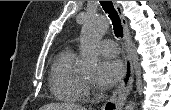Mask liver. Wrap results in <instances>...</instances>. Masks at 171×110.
I'll use <instances>...</instances> for the list:
<instances>
[{
	"label": "liver",
	"mask_w": 171,
	"mask_h": 110,
	"mask_svg": "<svg viewBox=\"0 0 171 110\" xmlns=\"http://www.w3.org/2000/svg\"><path fill=\"white\" fill-rule=\"evenodd\" d=\"M40 110H85V109L80 106H76L74 104L50 103L42 106Z\"/></svg>",
	"instance_id": "liver-1"
}]
</instances>
